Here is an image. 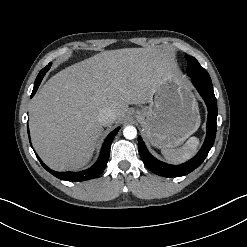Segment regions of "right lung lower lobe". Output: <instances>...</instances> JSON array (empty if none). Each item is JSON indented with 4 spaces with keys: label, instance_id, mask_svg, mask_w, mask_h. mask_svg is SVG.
Segmentation results:
<instances>
[{
    "label": "right lung lower lobe",
    "instance_id": "1",
    "mask_svg": "<svg viewBox=\"0 0 247 247\" xmlns=\"http://www.w3.org/2000/svg\"><path fill=\"white\" fill-rule=\"evenodd\" d=\"M51 65L46 66L45 68H43L40 73L38 74L35 83H34V88L31 94V97L36 93L44 75L46 74V72L49 70ZM119 128H116L114 131H112L106 138L103 147H102V151L100 154V157L98 159V161L89 169L81 171V172H77V173H72V172H56L53 171L51 169H49L37 156V158L39 159L41 165L48 171L50 172L52 175H54L55 177L61 179V180H65V181H71V182H79V181H85V180H89V179H93L98 177L99 175L102 174V172L104 171L108 159H109V155H110V147H111V143L115 137V135L117 134ZM28 135H29V129H28Z\"/></svg>",
    "mask_w": 247,
    "mask_h": 247
}]
</instances>
